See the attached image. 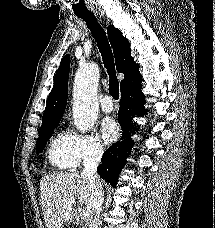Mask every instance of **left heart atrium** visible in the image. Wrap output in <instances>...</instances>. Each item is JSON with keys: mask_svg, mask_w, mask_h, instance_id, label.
I'll list each match as a JSON object with an SVG mask.
<instances>
[{"mask_svg": "<svg viewBox=\"0 0 215 228\" xmlns=\"http://www.w3.org/2000/svg\"><path fill=\"white\" fill-rule=\"evenodd\" d=\"M101 131L104 139L109 142L115 140L120 133L118 124L112 118H106L103 120Z\"/></svg>", "mask_w": 215, "mask_h": 228, "instance_id": "39dd6f15", "label": "left heart atrium"}]
</instances>
